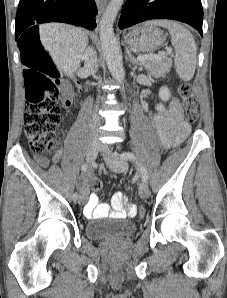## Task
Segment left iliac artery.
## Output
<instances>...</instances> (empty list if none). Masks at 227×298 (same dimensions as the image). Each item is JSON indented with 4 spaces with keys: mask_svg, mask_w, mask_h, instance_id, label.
Masks as SVG:
<instances>
[{
    "mask_svg": "<svg viewBox=\"0 0 227 298\" xmlns=\"http://www.w3.org/2000/svg\"><path fill=\"white\" fill-rule=\"evenodd\" d=\"M121 158L124 160H133L136 162L140 172H141V178L144 182L148 181V174H147V170L144 168V166H142L138 161L136 156L131 153V152H124L121 154Z\"/></svg>",
    "mask_w": 227,
    "mask_h": 298,
    "instance_id": "44dca946",
    "label": "left iliac artery"
}]
</instances>
